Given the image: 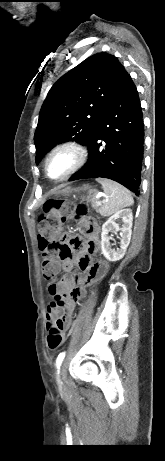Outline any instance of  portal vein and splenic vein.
<instances>
[{
	"label": "portal vein and splenic vein",
	"mask_w": 165,
	"mask_h": 461,
	"mask_svg": "<svg viewBox=\"0 0 165 461\" xmlns=\"http://www.w3.org/2000/svg\"><path fill=\"white\" fill-rule=\"evenodd\" d=\"M97 198H100V195H98ZM105 201H107V200H103V201L97 200V205H101V204H102L103 202H105Z\"/></svg>",
	"instance_id": "1"
}]
</instances>
